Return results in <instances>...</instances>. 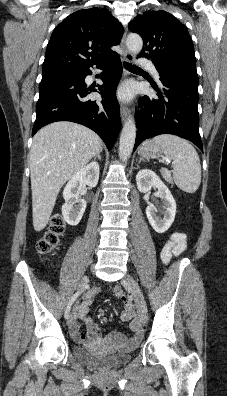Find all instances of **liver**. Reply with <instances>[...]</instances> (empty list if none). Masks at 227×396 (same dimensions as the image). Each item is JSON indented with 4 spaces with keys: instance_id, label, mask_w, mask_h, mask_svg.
<instances>
[{
    "instance_id": "6515ba94",
    "label": "liver",
    "mask_w": 227,
    "mask_h": 396,
    "mask_svg": "<svg viewBox=\"0 0 227 396\" xmlns=\"http://www.w3.org/2000/svg\"><path fill=\"white\" fill-rule=\"evenodd\" d=\"M101 150L95 132L72 122L51 123L35 134L30 151L35 231L46 227L64 183Z\"/></svg>"
}]
</instances>
